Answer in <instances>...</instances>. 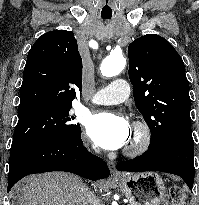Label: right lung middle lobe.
<instances>
[{
    "mask_svg": "<svg viewBox=\"0 0 199 205\" xmlns=\"http://www.w3.org/2000/svg\"><path fill=\"white\" fill-rule=\"evenodd\" d=\"M72 104L38 106L18 112L10 152L27 146L61 137L76 139L80 137L79 124L71 123L69 116Z\"/></svg>",
    "mask_w": 199,
    "mask_h": 205,
    "instance_id": "1",
    "label": "right lung middle lobe"
}]
</instances>
